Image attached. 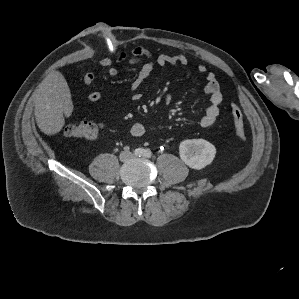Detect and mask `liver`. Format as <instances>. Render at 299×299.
Instances as JSON below:
<instances>
[{"instance_id":"6515ba94","label":"liver","mask_w":299,"mask_h":299,"mask_svg":"<svg viewBox=\"0 0 299 299\" xmlns=\"http://www.w3.org/2000/svg\"><path fill=\"white\" fill-rule=\"evenodd\" d=\"M73 111L71 93L67 81L59 71L50 72L39 84L36 92L35 119L40 130L53 135L61 131L64 116Z\"/></svg>"}]
</instances>
